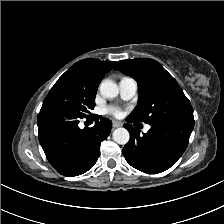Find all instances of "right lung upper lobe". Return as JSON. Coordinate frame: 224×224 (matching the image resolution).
Here are the masks:
<instances>
[{
    "instance_id": "cb5924a9",
    "label": "right lung upper lobe",
    "mask_w": 224,
    "mask_h": 224,
    "mask_svg": "<svg viewBox=\"0 0 224 224\" xmlns=\"http://www.w3.org/2000/svg\"><path fill=\"white\" fill-rule=\"evenodd\" d=\"M115 62L96 59H83L69 68V71L79 73L98 85L106 73L114 67Z\"/></svg>"
}]
</instances>
